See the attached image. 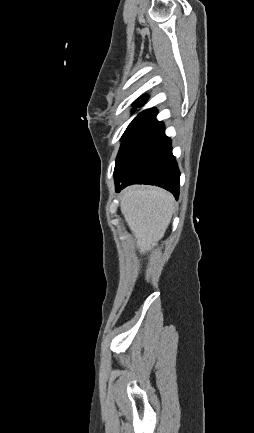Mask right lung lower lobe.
Here are the masks:
<instances>
[{"label":"right lung lower lobe","mask_w":254,"mask_h":433,"mask_svg":"<svg viewBox=\"0 0 254 433\" xmlns=\"http://www.w3.org/2000/svg\"><path fill=\"white\" fill-rule=\"evenodd\" d=\"M156 110L141 112L128 126L116 159L115 190L131 184H150L179 196L180 172L172 155L171 140L162 122L156 121Z\"/></svg>","instance_id":"98d812e1"}]
</instances>
